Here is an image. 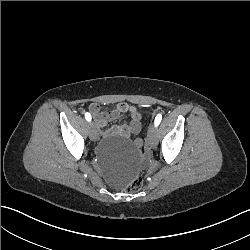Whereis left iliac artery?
<instances>
[{
  "instance_id": "left-iliac-artery-1",
  "label": "left iliac artery",
  "mask_w": 250,
  "mask_h": 250,
  "mask_svg": "<svg viewBox=\"0 0 250 250\" xmlns=\"http://www.w3.org/2000/svg\"><path fill=\"white\" fill-rule=\"evenodd\" d=\"M161 120H162V115H161V114H158V115L156 116V118H155V121H154L155 126H158V125L160 124Z\"/></svg>"
}]
</instances>
